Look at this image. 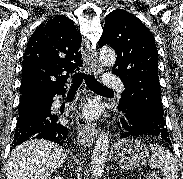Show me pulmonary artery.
<instances>
[{"label":"pulmonary artery","instance_id":"e3ab8cb5","mask_svg":"<svg viewBox=\"0 0 183 179\" xmlns=\"http://www.w3.org/2000/svg\"><path fill=\"white\" fill-rule=\"evenodd\" d=\"M103 84L108 88H115L120 92H123L125 90L122 81L113 74H106L103 78Z\"/></svg>","mask_w":183,"mask_h":179}]
</instances>
